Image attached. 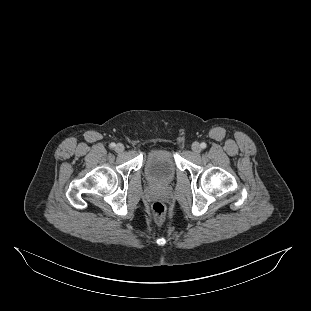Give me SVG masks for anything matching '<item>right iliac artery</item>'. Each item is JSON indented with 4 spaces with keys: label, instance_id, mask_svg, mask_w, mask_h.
<instances>
[{
    "label": "right iliac artery",
    "instance_id": "1",
    "mask_svg": "<svg viewBox=\"0 0 311 311\" xmlns=\"http://www.w3.org/2000/svg\"><path fill=\"white\" fill-rule=\"evenodd\" d=\"M115 146H116L115 143H111V144H110V148H114Z\"/></svg>",
    "mask_w": 311,
    "mask_h": 311
}]
</instances>
